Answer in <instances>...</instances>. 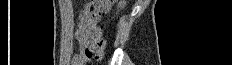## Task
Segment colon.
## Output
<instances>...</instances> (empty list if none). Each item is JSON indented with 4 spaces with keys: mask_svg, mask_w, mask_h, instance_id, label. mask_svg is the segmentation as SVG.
I'll list each match as a JSON object with an SVG mask.
<instances>
[{
    "mask_svg": "<svg viewBox=\"0 0 232 65\" xmlns=\"http://www.w3.org/2000/svg\"><path fill=\"white\" fill-rule=\"evenodd\" d=\"M113 2L114 0H90L85 4L80 14V23L87 36L89 59L92 57L100 58L103 54L105 42L102 38V27L99 23L102 17L108 13Z\"/></svg>",
    "mask_w": 232,
    "mask_h": 65,
    "instance_id": "obj_1",
    "label": "colon"
}]
</instances>
